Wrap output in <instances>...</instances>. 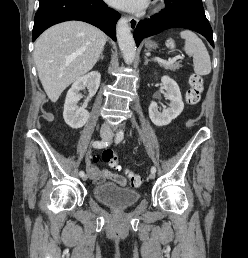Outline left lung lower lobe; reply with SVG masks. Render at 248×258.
Segmentation results:
<instances>
[{
	"label": "left lung lower lobe",
	"instance_id": "obj_1",
	"mask_svg": "<svg viewBox=\"0 0 248 258\" xmlns=\"http://www.w3.org/2000/svg\"><path fill=\"white\" fill-rule=\"evenodd\" d=\"M165 5L158 14L138 23L133 34L137 46L146 37L181 27L200 33L214 47L212 29L201 0H165Z\"/></svg>",
	"mask_w": 248,
	"mask_h": 258
}]
</instances>
